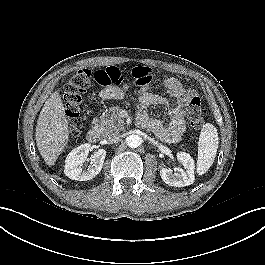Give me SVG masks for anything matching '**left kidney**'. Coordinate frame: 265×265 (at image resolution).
<instances>
[{
	"instance_id": "obj_1",
	"label": "left kidney",
	"mask_w": 265,
	"mask_h": 265,
	"mask_svg": "<svg viewBox=\"0 0 265 265\" xmlns=\"http://www.w3.org/2000/svg\"><path fill=\"white\" fill-rule=\"evenodd\" d=\"M177 160L181 162L186 170L176 167L174 170L160 166V176L162 180L174 187H184L191 185L195 180V164L193 158L186 152H177Z\"/></svg>"
}]
</instances>
